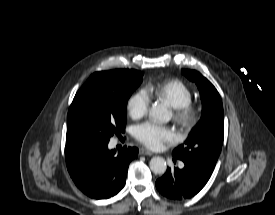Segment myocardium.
<instances>
[{
  "label": "myocardium",
  "instance_id": "myocardium-1",
  "mask_svg": "<svg viewBox=\"0 0 275 215\" xmlns=\"http://www.w3.org/2000/svg\"><path fill=\"white\" fill-rule=\"evenodd\" d=\"M173 115L175 121L183 128H190L196 123L199 116V110L195 105L189 103L185 106L174 108Z\"/></svg>",
  "mask_w": 275,
  "mask_h": 215
}]
</instances>
